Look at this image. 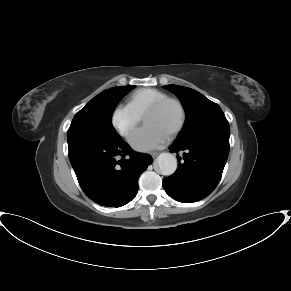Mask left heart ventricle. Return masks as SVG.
Instances as JSON below:
<instances>
[{"instance_id":"1","label":"left heart ventricle","mask_w":291,"mask_h":291,"mask_svg":"<svg viewBox=\"0 0 291 291\" xmlns=\"http://www.w3.org/2000/svg\"><path fill=\"white\" fill-rule=\"evenodd\" d=\"M178 120L179 112L177 107L174 104H168L157 112L147 114L144 122L170 134Z\"/></svg>"}]
</instances>
